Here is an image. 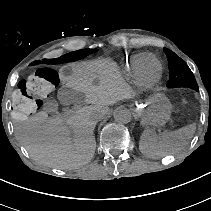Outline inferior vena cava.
Listing matches in <instances>:
<instances>
[{"mask_svg": "<svg viewBox=\"0 0 211 211\" xmlns=\"http://www.w3.org/2000/svg\"><path fill=\"white\" fill-rule=\"evenodd\" d=\"M101 119V113L95 114V120L98 121Z\"/></svg>", "mask_w": 211, "mask_h": 211, "instance_id": "obj_1", "label": "inferior vena cava"}]
</instances>
